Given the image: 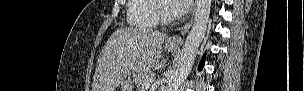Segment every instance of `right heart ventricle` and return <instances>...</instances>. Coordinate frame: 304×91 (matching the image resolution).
I'll list each match as a JSON object with an SVG mask.
<instances>
[{
	"mask_svg": "<svg viewBox=\"0 0 304 91\" xmlns=\"http://www.w3.org/2000/svg\"><path fill=\"white\" fill-rule=\"evenodd\" d=\"M157 0H129L127 20L132 27L155 28L158 24L156 14Z\"/></svg>",
	"mask_w": 304,
	"mask_h": 91,
	"instance_id": "e07e8e85",
	"label": "right heart ventricle"
}]
</instances>
